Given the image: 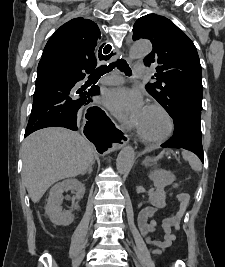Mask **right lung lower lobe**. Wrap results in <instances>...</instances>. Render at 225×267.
<instances>
[{"label":"right lung lower lobe","mask_w":225,"mask_h":267,"mask_svg":"<svg viewBox=\"0 0 225 267\" xmlns=\"http://www.w3.org/2000/svg\"><path fill=\"white\" fill-rule=\"evenodd\" d=\"M91 73L76 60L63 56H42L37 70L33 105L24 137L46 127H65L78 130L77 113L99 94L98 87L78 88V82ZM92 119L84 128L86 137L102 153L112 141L114 125L98 107H91Z\"/></svg>","instance_id":"right-lung-lower-lobe-1"}]
</instances>
